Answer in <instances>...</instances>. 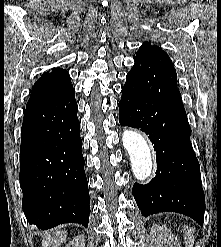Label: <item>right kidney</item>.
<instances>
[{
    "instance_id": "right-kidney-1",
    "label": "right kidney",
    "mask_w": 221,
    "mask_h": 247,
    "mask_svg": "<svg viewBox=\"0 0 221 247\" xmlns=\"http://www.w3.org/2000/svg\"><path fill=\"white\" fill-rule=\"evenodd\" d=\"M65 247H85V237H84V235L82 234V235L76 236Z\"/></svg>"
}]
</instances>
